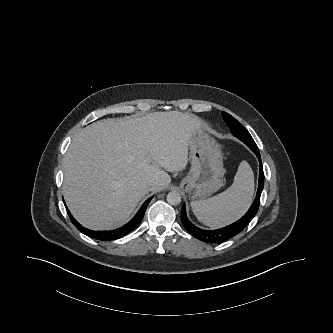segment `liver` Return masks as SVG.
<instances>
[{"mask_svg":"<svg viewBox=\"0 0 333 333\" xmlns=\"http://www.w3.org/2000/svg\"><path fill=\"white\" fill-rule=\"evenodd\" d=\"M201 129L197 116L178 111L103 119L84 128L64 158L69 210L92 230L123 225L149 191L170 184L166 171L186 168L190 140Z\"/></svg>","mask_w":333,"mask_h":333,"instance_id":"1","label":"liver"}]
</instances>
